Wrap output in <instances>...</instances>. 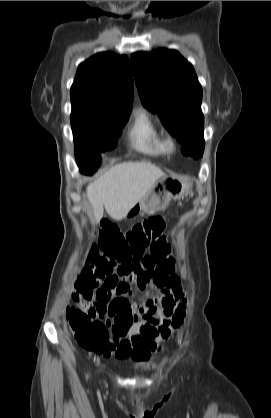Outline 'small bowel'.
Wrapping results in <instances>:
<instances>
[{
	"label": "small bowel",
	"instance_id": "c3829d8e",
	"mask_svg": "<svg viewBox=\"0 0 271 418\" xmlns=\"http://www.w3.org/2000/svg\"><path fill=\"white\" fill-rule=\"evenodd\" d=\"M167 247L168 240L158 237L149 248V255L138 260L118 263L99 257L83 269L76 291L97 288V295L90 306L89 301H84L82 307L89 306V313L97 314L96 322L105 323L111 339L106 347L96 351L98 354L148 361L157 344L167 336L172 314L184 311L182 289ZM88 277L94 279L93 284L88 283ZM133 288L142 295L138 306L129 299Z\"/></svg>",
	"mask_w": 271,
	"mask_h": 418
}]
</instances>
